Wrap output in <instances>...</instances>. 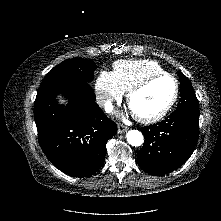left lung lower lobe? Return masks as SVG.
I'll return each mask as SVG.
<instances>
[{
  "label": "left lung lower lobe",
  "mask_w": 221,
  "mask_h": 221,
  "mask_svg": "<svg viewBox=\"0 0 221 221\" xmlns=\"http://www.w3.org/2000/svg\"><path fill=\"white\" fill-rule=\"evenodd\" d=\"M145 141L137 154L140 168L153 176L170 173L192 154L199 137V108H177L165 120L141 128Z\"/></svg>",
  "instance_id": "left-lung-lower-lobe-1"
}]
</instances>
